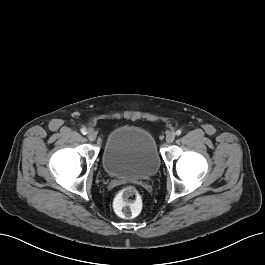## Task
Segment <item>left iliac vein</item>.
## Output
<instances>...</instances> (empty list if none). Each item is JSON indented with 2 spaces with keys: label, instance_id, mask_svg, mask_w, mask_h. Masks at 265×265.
Returning <instances> with one entry per match:
<instances>
[{
  "label": "left iliac vein",
  "instance_id": "4c4485c4",
  "mask_svg": "<svg viewBox=\"0 0 265 265\" xmlns=\"http://www.w3.org/2000/svg\"><path fill=\"white\" fill-rule=\"evenodd\" d=\"M175 137H176V133L175 132H169L166 135V142L167 143H172L174 141Z\"/></svg>",
  "mask_w": 265,
  "mask_h": 265
}]
</instances>
